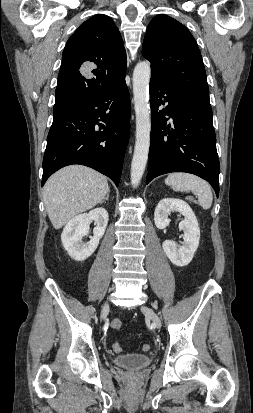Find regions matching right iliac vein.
Listing matches in <instances>:
<instances>
[{"label": "right iliac vein", "mask_w": 253, "mask_h": 413, "mask_svg": "<svg viewBox=\"0 0 253 413\" xmlns=\"http://www.w3.org/2000/svg\"><path fill=\"white\" fill-rule=\"evenodd\" d=\"M108 310H109V303L106 302V303L104 304L103 308H102L101 317H104V315L108 312Z\"/></svg>", "instance_id": "obj_1"}]
</instances>
